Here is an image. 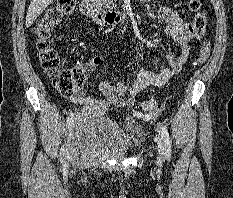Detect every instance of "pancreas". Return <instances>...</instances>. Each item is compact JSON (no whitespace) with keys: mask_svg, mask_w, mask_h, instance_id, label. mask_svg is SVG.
I'll return each instance as SVG.
<instances>
[{"mask_svg":"<svg viewBox=\"0 0 233 198\" xmlns=\"http://www.w3.org/2000/svg\"><path fill=\"white\" fill-rule=\"evenodd\" d=\"M116 0H91L92 3L98 5V6H103L105 8H113L116 7L115 5Z\"/></svg>","mask_w":233,"mask_h":198,"instance_id":"cf45deb5","label":"pancreas"}]
</instances>
